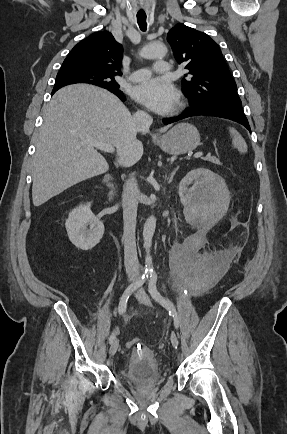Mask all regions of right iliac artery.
Instances as JSON below:
<instances>
[{"label": "right iliac artery", "mask_w": 287, "mask_h": 434, "mask_svg": "<svg viewBox=\"0 0 287 434\" xmlns=\"http://www.w3.org/2000/svg\"><path fill=\"white\" fill-rule=\"evenodd\" d=\"M149 275H150V273L145 272L140 278H138L135 282H133L131 285H129L127 287V289L124 291V293L120 299L119 306H118V312L120 315L125 313L126 308H127V302H128L130 295L136 289L141 287L148 280ZM116 335H117V330H114L108 339L110 344L114 341Z\"/></svg>", "instance_id": "1"}]
</instances>
